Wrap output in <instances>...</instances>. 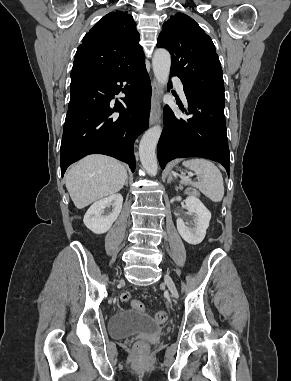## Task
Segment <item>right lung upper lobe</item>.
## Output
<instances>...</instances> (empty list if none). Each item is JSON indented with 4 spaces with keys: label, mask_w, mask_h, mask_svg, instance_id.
<instances>
[{
    "label": "right lung upper lobe",
    "mask_w": 291,
    "mask_h": 381,
    "mask_svg": "<svg viewBox=\"0 0 291 381\" xmlns=\"http://www.w3.org/2000/svg\"><path fill=\"white\" fill-rule=\"evenodd\" d=\"M144 59L132 15L115 11L99 20L84 36L71 72L114 74Z\"/></svg>",
    "instance_id": "obj_1"
}]
</instances>
